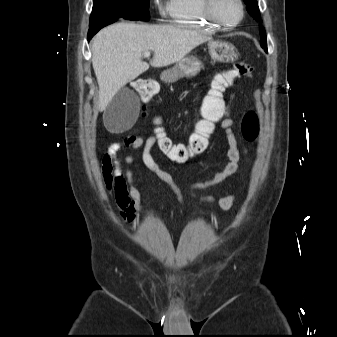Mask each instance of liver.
Masks as SVG:
<instances>
[{
  "label": "liver",
  "mask_w": 337,
  "mask_h": 337,
  "mask_svg": "<svg viewBox=\"0 0 337 337\" xmlns=\"http://www.w3.org/2000/svg\"><path fill=\"white\" fill-rule=\"evenodd\" d=\"M197 31L172 25L120 22L102 29L92 44V65L99 85V109L103 111L117 92L149 66L158 68L183 59L210 40ZM154 52L149 64L145 52Z\"/></svg>",
  "instance_id": "1"
}]
</instances>
